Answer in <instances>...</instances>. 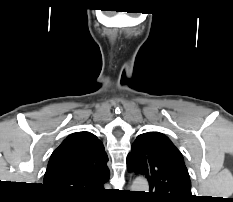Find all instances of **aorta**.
Here are the masks:
<instances>
[{
	"label": "aorta",
	"mask_w": 233,
	"mask_h": 202,
	"mask_svg": "<svg viewBox=\"0 0 233 202\" xmlns=\"http://www.w3.org/2000/svg\"><path fill=\"white\" fill-rule=\"evenodd\" d=\"M131 188L132 191H147L148 183L145 179H136Z\"/></svg>",
	"instance_id": "obj_1"
}]
</instances>
